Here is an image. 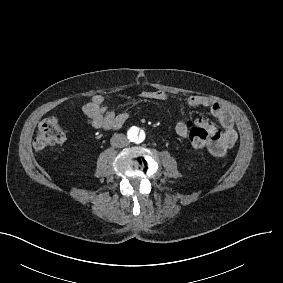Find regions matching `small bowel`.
<instances>
[{"mask_svg":"<svg viewBox=\"0 0 283 283\" xmlns=\"http://www.w3.org/2000/svg\"><path fill=\"white\" fill-rule=\"evenodd\" d=\"M138 98L152 101H166L169 95L162 90H144L138 94ZM187 104L192 107L208 109L212 116L222 127L220 132L214 124L204 120H198L201 127L210 131L214 137V146L209 153L215 157H224L228 150L237 142L238 134L235 126V119L232 113L223 105L210 97L203 95H192L187 99ZM84 113L92 127L98 130H115L122 127L128 120V113H114L106 106L105 97L101 94L94 95L84 106ZM184 121L175 126L176 133L187 138L182 130Z\"/></svg>","mask_w":283,"mask_h":283,"instance_id":"obj_1","label":"small bowel"}]
</instances>
